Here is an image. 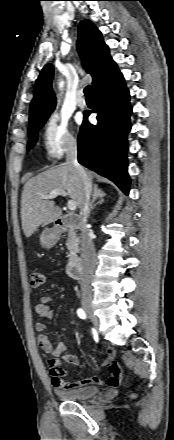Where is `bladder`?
I'll return each mask as SVG.
<instances>
[{
  "label": "bladder",
  "mask_w": 174,
  "mask_h": 440,
  "mask_svg": "<svg viewBox=\"0 0 174 440\" xmlns=\"http://www.w3.org/2000/svg\"><path fill=\"white\" fill-rule=\"evenodd\" d=\"M97 386H84L68 391H59V395L66 400H83L98 393Z\"/></svg>",
  "instance_id": "obj_1"
}]
</instances>
